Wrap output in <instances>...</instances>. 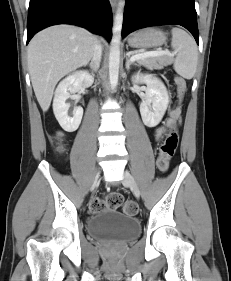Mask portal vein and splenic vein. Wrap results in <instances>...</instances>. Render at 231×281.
<instances>
[{"instance_id": "portal-vein-and-splenic-vein-1", "label": "portal vein and splenic vein", "mask_w": 231, "mask_h": 281, "mask_svg": "<svg viewBox=\"0 0 231 281\" xmlns=\"http://www.w3.org/2000/svg\"><path fill=\"white\" fill-rule=\"evenodd\" d=\"M160 55L174 56L175 53H171L168 50H160L159 49V50H156V51H148V52H144V53L135 54V55L130 57L129 61L135 62L137 60L144 59V58H147V57L160 56Z\"/></svg>"}]
</instances>
